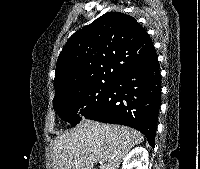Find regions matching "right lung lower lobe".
<instances>
[{
	"instance_id": "98d812e1",
	"label": "right lung lower lobe",
	"mask_w": 200,
	"mask_h": 169,
	"mask_svg": "<svg viewBox=\"0 0 200 169\" xmlns=\"http://www.w3.org/2000/svg\"><path fill=\"white\" fill-rule=\"evenodd\" d=\"M160 101L161 76L156 59L116 78L103 105L86 119L135 128L154 147Z\"/></svg>"
}]
</instances>
